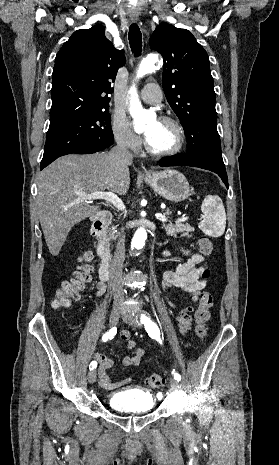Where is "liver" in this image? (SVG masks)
<instances>
[{
	"mask_svg": "<svg viewBox=\"0 0 279 465\" xmlns=\"http://www.w3.org/2000/svg\"><path fill=\"white\" fill-rule=\"evenodd\" d=\"M131 162L108 153L69 154L44 168L38 175L36 209L50 253L57 256L70 230L94 217L100 207L81 194L108 190L125 195L130 186Z\"/></svg>",
	"mask_w": 279,
	"mask_h": 465,
	"instance_id": "liver-1",
	"label": "liver"
}]
</instances>
